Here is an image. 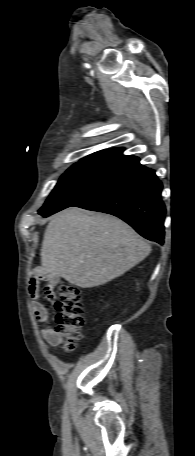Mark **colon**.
I'll list each match as a JSON object with an SVG mask.
<instances>
[{"instance_id":"colon-1","label":"colon","mask_w":195,"mask_h":456,"mask_svg":"<svg viewBox=\"0 0 195 456\" xmlns=\"http://www.w3.org/2000/svg\"><path fill=\"white\" fill-rule=\"evenodd\" d=\"M55 308L57 310L55 330L63 335V348L71 351L81 339V328L84 324L80 290L73 284L61 283Z\"/></svg>"}]
</instances>
